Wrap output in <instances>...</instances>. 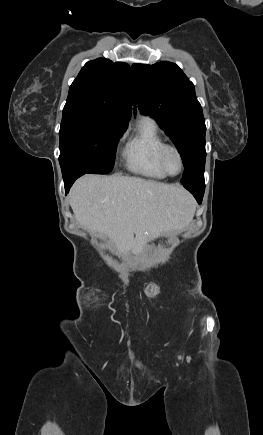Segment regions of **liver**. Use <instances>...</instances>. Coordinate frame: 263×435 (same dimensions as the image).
Here are the masks:
<instances>
[{"instance_id":"obj_1","label":"liver","mask_w":263,"mask_h":435,"mask_svg":"<svg viewBox=\"0 0 263 435\" xmlns=\"http://www.w3.org/2000/svg\"><path fill=\"white\" fill-rule=\"evenodd\" d=\"M69 203L81 226L108 236L124 254H138L162 233L183 230L193 216L181 186L119 175L79 178Z\"/></svg>"}]
</instances>
